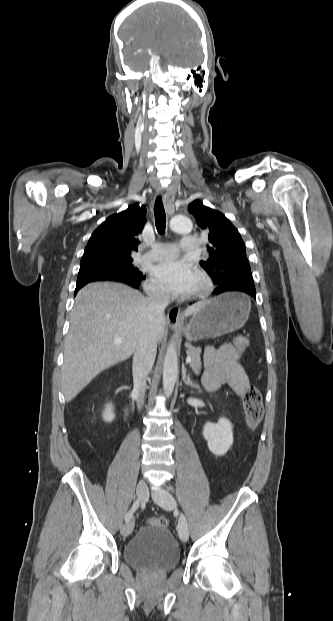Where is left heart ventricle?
<instances>
[{"label":"left heart ventricle","mask_w":333,"mask_h":621,"mask_svg":"<svg viewBox=\"0 0 333 621\" xmlns=\"http://www.w3.org/2000/svg\"><path fill=\"white\" fill-rule=\"evenodd\" d=\"M200 285H201L200 280H199V278H197V280H196V282H195V284H194V286H193V288H192V290L190 291L189 294H192V293L196 292L200 288Z\"/></svg>","instance_id":"obj_1"}]
</instances>
